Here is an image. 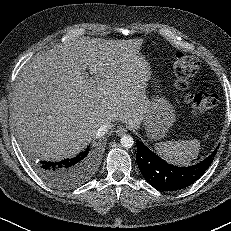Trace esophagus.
<instances>
[{
    "label": "esophagus",
    "mask_w": 231,
    "mask_h": 231,
    "mask_svg": "<svg viewBox=\"0 0 231 231\" xmlns=\"http://www.w3.org/2000/svg\"><path fill=\"white\" fill-rule=\"evenodd\" d=\"M126 132H127L126 127H124V126H122V125L117 126V128L115 129V133H116V135H118V136H121V135L125 134Z\"/></svg>",
    "instance_id": "34e87169"
}]
</instances>
